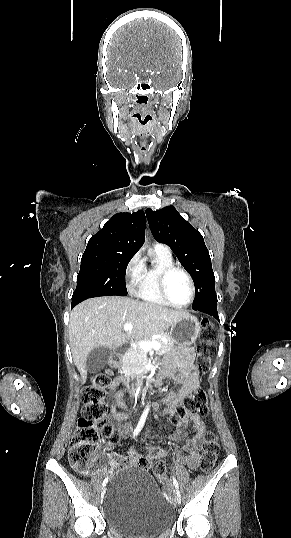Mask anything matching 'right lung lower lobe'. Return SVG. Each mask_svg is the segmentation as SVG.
<instances>
[{"label": "right lung lower lobe", "instance_id": "right-lung-lower-lobe-1", "mask_svg": "<svg viewBox=\"0 0 291 538\" xmlns=\"http://www.w3.org/2000/svg\"><path fill=\"white\" fill-rule=\"evenodd\" d=\"M78 303H72L71 308L75 307Z\"/></svg>", "mask_w": 291, "mask_h": 538}]
</instances>
